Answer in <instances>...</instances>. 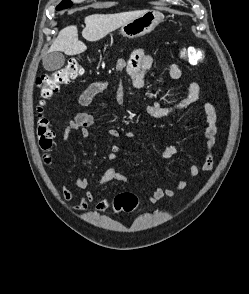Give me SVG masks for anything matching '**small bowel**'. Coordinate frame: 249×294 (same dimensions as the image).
Wrapping results in <instances>:
<instances>
[{"instance_id": "obj_1", "label": "small bowel", "mask_w": 249, "mask_h": 294, "mask_svg": "<svg viewBox=\"0 0 249 294\" xmlns=\"http://www.w3.org/2000/svg\"><path fill=\"white\" fill-rule=\"evenodd\" d=\"M154 62L153 55L149 54L144 48H139L135 50L131 58L127 63L123 60L120 61V67L125 69L127 76L129 77L132 87L134 89H141L144 86V80L147 72L151 68ZM169 75L172 80L179 81L182 77V69L177 64H171L169 67ZM107 86V81L100 80L91 83L78 98V103L82 107H88L92 104L95 97L99 95ZM116 99L119 104L124 102V88L122 83L119 84L116 91ZM199 103L200 109L194 115L192 123H195L199 118L204 115L207 126L204 129L203 136L207 141V148L205 149L202 157V164L199 167L197 164L193 163L189 167L190 178H196L200 170L210 171L214 165V148L216 145V133H217V114L214 106L204 99L203 92L198 83L192 82L188 86L186 95L180 99L178 102L171 105H164L160 101H156L150 104L145 109V115L150 118L159 119L167 116H171L178 113L192 104ZM94 124V117L86 112H80L76 114L73 120L69 121L68 125L62 132V138L64 141H68L72 135L79 131L83 138H89L91 136L90 128ZM108 134L112 138L125 137L127 139L134 138V134L128 130H120L118 128H111L108 130ZM122 146L120 144H113L108 155V161L110 165L106 168L104 173L100 176L96 183V187H102L103 185L111 182L118 181L122 183H129V178L120 173L115 166L112 165L118 158V154L121 152ZM178 152V149L174 145L166 146L161 152V157L164 160H168L174 157ZM75 184L78 191H73L69 189L66 185L63 187V196L66 200L72 201L79 199L73 208L75 211L83 212L87 210L89 205L94 199V193L89 189L90 183L87 178H77ZM188 185L187 180L181 178L177 181L174 187H156L152 193L149 195L150 203H157L161 199L167 197L171 198L178 193L184 191ZM114 197H105L101 199L95 205V212L103 213L113 206Z\"/></svg>"}]
</instances>
